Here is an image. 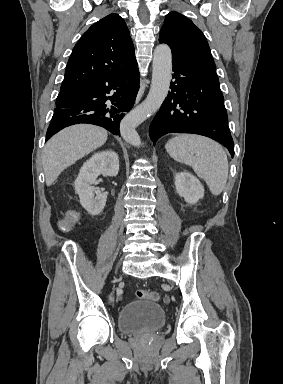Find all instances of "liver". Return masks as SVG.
<instances>
[{
    "instance_id": "liver-1",
    "label": "liver",
    "mask_w": 283,
    "mask_h": 384,
    "mask_svg": "<svg viewBox=\"0 0 283 384\" xmlns=\"http://www.w3.org/2000/svg\"><path fill=\"white\" fill-rule=\"evenodd\" d=\"M107 130L89 124H78L61 130L44 148L42 158L46 186H51L63 170L105 144Z\"/></svg>"
}]
</instances>
